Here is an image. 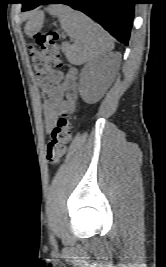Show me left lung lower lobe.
I'll list each match as a JSON object with an SVG mask.
<instances>
[{
	"instance_id": "obj_1",
	"label": "left lung lower lobe",
	"mask_w": 166,
	"mask_h": 267,
	"mask_svg": "<svg viewBox=\"0 0 166 267\" xmlns=\"http://www.w3.org/2000/svg\"><path fill=\"white\" fill-rule=\"evenodd\" d=\"M66 4L84 12L118 41L128 45L136 0H23L22 11L41 4Z\"/></svg>"
}]
</instances>
